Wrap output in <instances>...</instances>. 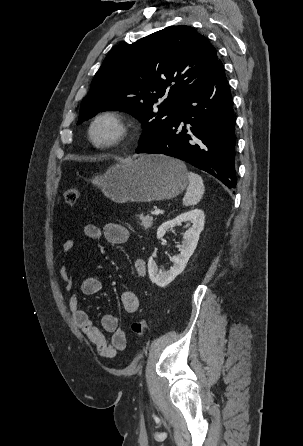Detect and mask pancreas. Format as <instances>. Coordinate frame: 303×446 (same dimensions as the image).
<instances>
[{"mask_svg": "<svg viewBox=\"0 0 303 446\" xmlns=\"http://www.w3.org/2000/svg\"><path fill=\"white\" fill-rule=\"evenodd\" d=\"M139 218L141 220V225L145 228V229H149L152 227L153 225V217L150 215H139Z\"/></svg>", "mask_w": 303, "mask_h": 446, "instance_id": "obj_1", "label": "pancreas"}]
</instances>
